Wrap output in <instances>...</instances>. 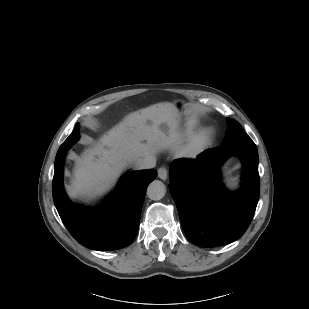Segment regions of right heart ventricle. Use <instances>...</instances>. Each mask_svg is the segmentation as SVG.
Listing matches in <instances>:
<instances>
[{"label": "right heart ventricle", "instance_id": "obj_1", "mask_svg": "<svg viewBox=\"0 0 309 309\" xmlns=\"http://www.w3.org/2000/svg\"><path fill=\"white\" fill-rule=\"evenodd\" d=\"M193 128H195V126L190 125V126L187 127V130L189 131V130H192Z\"/></svg>", "mask_w": 309, "mask_h": 309}]
</instances>
